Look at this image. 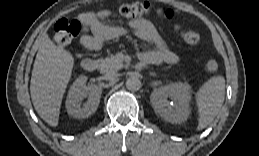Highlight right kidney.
<instances>
[{
    "label": "right kidney",
    "instance_id": "obj_1",
    "mask_svg": "<svg viewBox=\"0 0 259 156\" xmlns=\"http://www.w3.org/2000/svg\"><path fill=\"white\" fill-rule=\"evenodd\" d=\"M87 77L80 75L70 87L66 100V109L70 116L82 119L88 118L98 108L102 88L98 85H86ZM88 100L82 104L84 98Z\"/></svg>",
    "mask_w": 259,
    "mask_h": 156
}]
</instances>
